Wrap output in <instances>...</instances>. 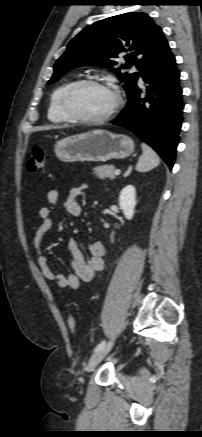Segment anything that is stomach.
Masks as SVG:
<instances>
[{"instance_id": "stomach-1", "label": "stomach", "mask_w": 202, "mask_h": 437, "mask_svg": "<svg viewBox=\"0 0 202 437\" xmlns=\"http://www.w3.org/2000/svg\"><path fill=\"white\" fill-rule=\"evenodd\" d=\"M54 151L63 162H107L129 157L134 152V142L123 134L92 130L58 141Z\"/></svg>"}]
</instances>
